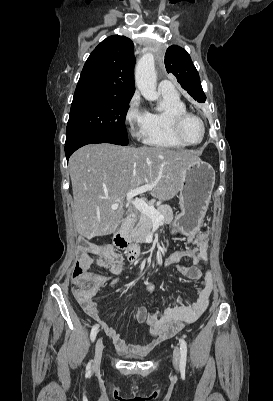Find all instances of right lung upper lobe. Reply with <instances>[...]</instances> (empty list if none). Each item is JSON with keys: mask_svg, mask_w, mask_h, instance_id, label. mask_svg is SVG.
<instances>
[{"mask_svg": "<svg viewBox=\"0 0 273 401\" xmlns=\"http://www.w3.org/2000/svg\"><path fill=\"white\" fill-rule=\"evenodd\" d=\"M133 42L110 36L88 57L74 96L98 95L132 98L135 92Z\"/></svg>", "mask_w": 273, "mask_h": 401, "instance_id": "1", "label": "right lung upper lobe"}]
</instances>
